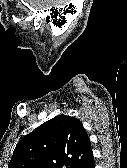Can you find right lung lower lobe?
Instances as JSON below:
<instances>
[{
  "label": "right lung lower lobe",
  "instance_id": "98d812e1",
  "mask_svg": "<svg viewBox=\"0 0 127 168\" xmlns=\"http://www.w3.org/2000/svg\"><path fill=\"white\" fill-rule=\"evenodd\" d=\"M74 168H94L93 156L76 165Z\"/></svg>",
  "mask_w": 127,
  "mask_h": 168
}]
</instances>
